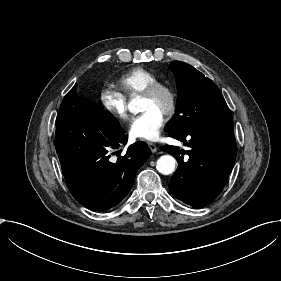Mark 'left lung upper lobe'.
<instances>
[{
    "label": "left lung upper lobe",
    "instance_id": "5c2ea615",
    "mask_svg": "<svg viewBox=\"0 0 281 281\" xmlns=\"http://www.w3.org/2000/svg\"><path fill=\"white\" fill-rule=\"evenodd\" d=\"M169 69L176 78L178 94L175 115L166 124V132L177 135L233 122L221 92L209 78L180 61L172 62Z\"/></svg>",
    "mask_w": 281,
    "mask_h": 281
}]
</instances>
